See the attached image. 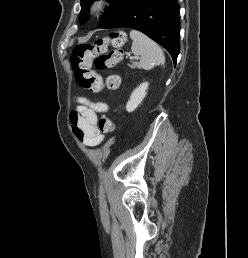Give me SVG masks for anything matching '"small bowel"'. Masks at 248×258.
I'll use <instances>...</instances> for the list:
<instances>
[{"mask_svg": "<svg viewBox=\"0 0 248 258\" xmlns=\"http://www.w3.org/2000/svg\"><path fill=\"white\" fill-rule=\"evenodd\" d=\"M78 101L80 105L70 117L73 133L82 146L96 147L104 140V135L98 128L97 114L106 112L108 106L84 97H79Z\"/></svg>", "mask_w": 248, "mask_h": 258, "instance_id": "1", "label": "small bowel"}]
</instances>
